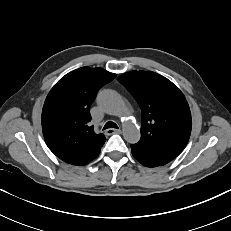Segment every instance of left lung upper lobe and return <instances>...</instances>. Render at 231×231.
<instances>
[{
    "label": "left lung upper lobe",
    "instance_id": "1",
    "mask_svg": "<svg viewBox=\"0 0 231 231\" xmlns=\"http://www.w3.org/2000/svg\"><path fill=\"white\" fill-rule=\"evenodd\" d=\"M142 111L141 138L135 145L178 156L188 143L192 119L180 89L152 71H131L118 77Z\"/></svg>",
    "mask_w": 231,
    "mask_h": 231
}]
</instances>
